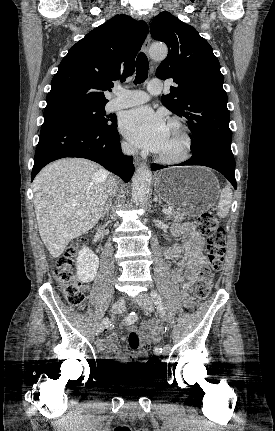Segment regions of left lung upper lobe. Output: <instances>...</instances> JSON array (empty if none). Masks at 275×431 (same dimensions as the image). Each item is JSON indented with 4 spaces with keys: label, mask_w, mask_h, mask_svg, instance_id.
Returning a JSON list of instances; mask_svg holds the SVG:
<instances>
[{
    "label": "left lung upper lobe",
    "mask_w": 275,
    "mask_h": 431,
    "mask_svg": "<svg viewBox=\"0 0 275 431\" xmlns=\"http://www.w3.org/2000/svg\"><path fill=\"white\" fill-rule=\"evenodd\" d=\"M151 35L168 46L156 76L177 84L162 96L167 109L186 119L192 132L191 149L209 143H231L228 97L220 64L210 44L192 26L169 12L153 18Z\"/></svg>",
    "instance_id": "1"
}]
</instances>
